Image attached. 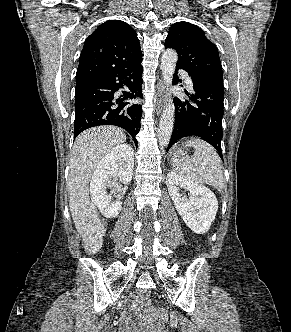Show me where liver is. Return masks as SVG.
<instances>
[{"mask_svg": "<svg viewBox=\"0 0 291 332\" xmlns=\"http://www.w3.org/2000/svg\"><path fill=\"white\" fill-rule=\"evenodd\" d=\"M126 140L121 129L99 126L82 132L71 151L68 177L69 208L87 252L97 253L105 233L95 205L90 202L89 181L105 155Z\"/></svg>", "mask_w": 291, "mask_h": 332, "instance_id": "liver-1", "label": "liver"}]
</instances>
